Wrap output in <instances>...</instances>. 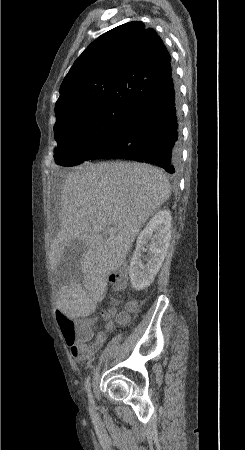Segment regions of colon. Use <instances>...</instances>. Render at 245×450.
<instances>
[{
	"mask_svg": "<svg viewBox=\"0 0 245 450\" xmlns=\"http://www.w3.org/2000/svg\"><path fill=\"white\" fill-rule=\"evenodd\" d=\"M127 278L128 274L124 268H121L116 273L110 275V281L114 290H123ZM129 308L133 310L135 308V304L131 303ZM56 320L60 332L68 343H71L74 340L86 341L92 336V326L91 323L87 321L76 319L61 312L57 314ZM126 321V316H122L119 319L120 323H125Z\"/></svg>",
	"mask_w": 245,
	"mask_h": 450,
	"instance_id": "obj_1",
	"label": "colon"
}]
</instances>
